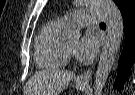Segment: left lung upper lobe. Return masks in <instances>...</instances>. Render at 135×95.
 <instances>
[{
  "label": "left lung upper lobe",
  "mask_w": 135,
  "mask_h": 95,
  "mask_svg": "<svg viewBox=\"0 0 135 95\" xmlns=\"http://www.w3.org/2000/svg\"><path fill=\"white\" fill-rule=\"evenodd\" d=\"M114 2L122 13L131 8L134 5L135 0H114Z\"/></svg>",
  "instance_id": "obj_1"
}]
</instances>
